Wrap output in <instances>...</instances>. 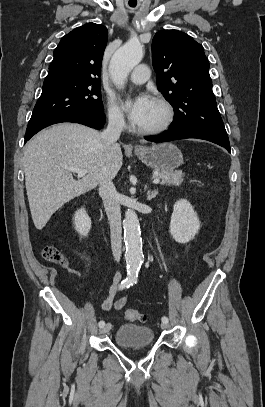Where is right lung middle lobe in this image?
I'll return each mask as SVG.
<instances>
[{"mask_svg":"<svg viewBox=\"0 0 265 407\" xmlns=\"http://www.w3.org/2000/svg\"><path fill=\"white\" fill-rule=\"evenodd\" d=\"M87 110L103 112L99 80L46 78L27 130L62 115Z\"/></svg>","mask_w":265,"mask_h":407,"instance_id":"obj_1","label":"right lung middle lobe"}]
</instances>
